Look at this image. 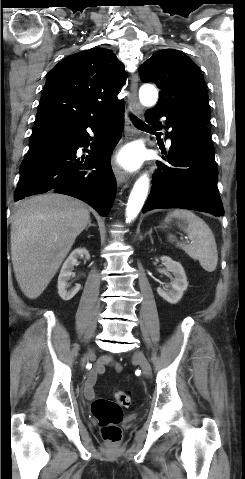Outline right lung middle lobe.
<instances>
[{"instance_id":"obj_1","label":"right lung middle lobe","mask_w":245,"mask_h":479,"mask_svg":"<svg viewBox=\"0 0 245 479\" xmlns=\"http://www.w3.org/2000/svg\"><path fill=\"white\" fill-rule=\"evenodd\" d=\"M40 134H42V133H34V132H33L32 135H31V137H30V139H32V138H34V137H37V136H39Z\"/></svg>"}]
</instances>
